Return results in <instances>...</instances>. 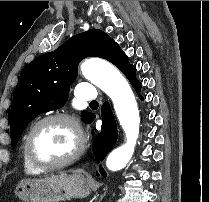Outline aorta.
Instances as JSON below:
<instances>
[{
	"label": "aorta",
	"mask_w": 209,
	"mask_h": 202,
	"mask_svg": "<svg viewBox=\"0 0 209 202\" xmlns=\"http://www.w3.org/2000/svg\"><path fill=\"white\" fill-rule=\"evenodd\" d=\"M83 76L103 90L112 100L126 142L114 149L107 157L106 165L112 171L124 168L130 161L139 135L140 116L133 91L112 64L89 59L80 66Z\"/></svg>",
	"instance_id": "762f6f07"
}]
</instances>
